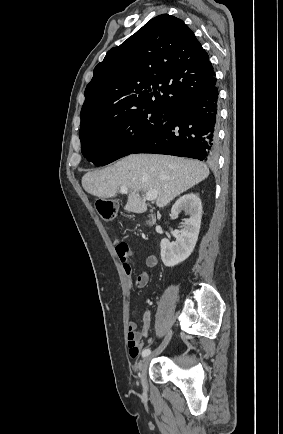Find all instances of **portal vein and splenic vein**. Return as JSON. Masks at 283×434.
I'll list each match as a JSON object with an SVG mask.
<instances>
[{
  "label": "portal vein and splenic vein",
  "instance_id": "obj_1",
  "mask_svg": "<svg viewBox=\"0 0 283 434\" xmlns=\"http://www.w3.org/2000/svg\"><path fill=\"white\" fill-rule=\"evenodd\" d=\"M120 190H121V192L125 193V192L128 191V188L126 186H121ZM157 196H158L157 191L151 190V191H148L143 198L145 200H148V201H153V200H155L157 198Z\"/></svg>",
  "mask_w": 283,
  "mask_h": 434
}]
</instances>
